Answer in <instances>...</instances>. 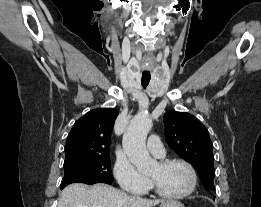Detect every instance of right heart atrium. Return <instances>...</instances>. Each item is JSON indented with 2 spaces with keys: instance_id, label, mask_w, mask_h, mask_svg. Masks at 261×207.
<instances>
[{
  "instance_id": "right-heart-atrium-1",
  "label": "right heart atrium",
  "mask_w": 261,
  "mask_h": 207,
  "mask_svg": "<svg viewBox=\"0 0 261 207\" xmlns=\"http://www.w3.org/2000/svg\"><path fill=\"white\" fill-rule=\"evenodd\" d=\"M113 172L120 187L126 191L142 194L148 189V180L126 158L116 160Z\"/></svg>"
}]
</instances>
